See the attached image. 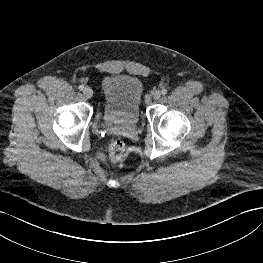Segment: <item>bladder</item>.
<instances>
[{
  "mask_svg": "<svg viewBox=\"0 0 263 263\" xmlns=\"http://www.w3.org/2000/svg\"><path fill=\"white\" fill-rule=\"evenodd\" d=\"M104 96L102 116L105 122L135 127L141 116L143 85L132 75L112 74L101 81Z\"/></svg>",
  "mask_w": 263,
  "mask_h": 263,
  "instance_id": "obj_1",
  "label": "bladder"
}]
</instances>
